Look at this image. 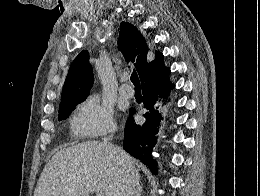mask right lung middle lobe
<instances>
[{"label":"right lung middle lobe","instance_id":"right-lung-middle-lobe-1","mask_svg":"<svg viewBox=\"0 0 260 196\" xmlns=\"http://www.w3.org/2000/svg\"><path fill=\"white\" fill-rule=\"evenodd\" d=\"M84 99H85V98L76 100V101L70 103L69 105H67L66 107H64L63 109H60V110H59V117H58V119H59V120H64V119H66V118L70 115V113H71V111L74 109V107H75L78 103H80L81 101H83Z\"/></svg>","mask_w":260,"mask_h":196}]
</instances>
